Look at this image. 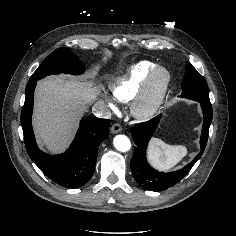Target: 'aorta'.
<instances>
[{
    "instance_id": "1",
    "label": "aorta",
    "mask_w": 236,
    "mask_h": 236,
    "mask_svg": "<svg viewBox=\"0 0 236 236\" xmlns=\"http://www.w3.org/2000/svg\"><path fill=\"white\" fill-rule=\"evenodd\" d=\"M115 148L120 152H126L131 148V142L125 135H117L113 140Z\"/></svg>"
}]
</instances>
